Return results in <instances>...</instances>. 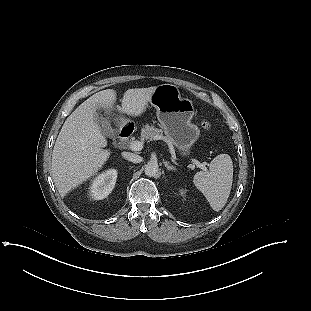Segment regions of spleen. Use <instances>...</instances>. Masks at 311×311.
I'll return each instance as SVG.
<instances>
[{
  "label": "spleen",
  "instance_id": "obj_1",
  "mask_svg": "<svg viewBox=\"0 0 311 311\" xmlns=\"http://www.w3.org/2000/svg\"><path fill=\"white\" fill-rule=\"evenodd\" d=\"M233 179V164L228 154L216 156L209 170L197 172L194 185L204 194L213 210H221L229 197Z\"/></svg>",
  "mask_w": 311,
  "mask_h": 311
}]
</instances>
